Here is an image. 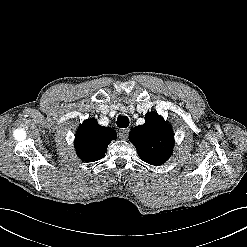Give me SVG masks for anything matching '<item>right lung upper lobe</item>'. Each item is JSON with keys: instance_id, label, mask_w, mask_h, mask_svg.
<instances>
[{"instance_id": "right-lung-upper-lobe-1", "label": "right lung upper lobe", "mask_w": 247, "mask_h": 247, "mask_svg": "<svg viewBox=\"0 0 247 247\" xmlns=\"http://www.w3.org/2000/svg\"><path fill=\"white\" fill-rule=\"evenodd\" d=\"M114 139L116 132L112 128L100 126L94 119H87L75 135L77 155L84 161H97L105 155L107 146Z\"/></svg>"}]
</instances>
